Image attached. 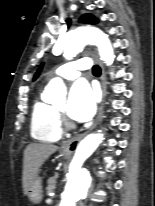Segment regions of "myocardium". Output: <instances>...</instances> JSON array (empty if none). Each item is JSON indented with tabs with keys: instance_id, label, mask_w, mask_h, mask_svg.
Listing matches in <instances>:
<instances>
[{
	"instance_id": "myocardium-1",
	"label": "myocardium",
	"mask_w": 155,
	"mask_h": 206,
	"mask_svg": "<svg viewBox=\"0 0 155 206\" xmlns=\"http://www.w3.org/2000/svg\"><path fill=\"white\" fill-rule=\"evenodd\" d=\"M57 110H58V112H59L60 114H63V110H62V109L58 108ZM66 126H67V127H71V124L67 122V123H66Z\"/></svg>"
}]
</instances>
